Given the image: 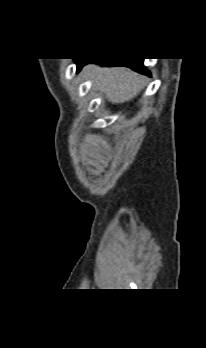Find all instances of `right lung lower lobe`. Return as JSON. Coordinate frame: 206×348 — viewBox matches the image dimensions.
Returning <instances> with one entry per match:
<instances>
[{"instance_id": "98d812e1", "label": "right lung lower lobe", "mask_w": 206, "mask_h": 348, "mask_svg": "<svg viewBox=\"0 0 206 348\" xmlns=\"http://www.w3.org/2000/svg\"><path fill=\"white\" fill-rule=\"evenodd\" d=\"M77 63V71L82 66L94 62L102 66H126L141 74L150 75L146 67L143 65V59H75Z\"/></svg>"}]
</instances>
